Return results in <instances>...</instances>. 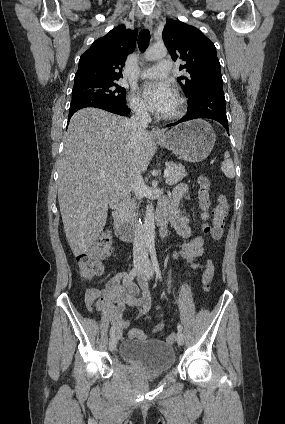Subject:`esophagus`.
<instances>
[{
	"label": "esophagus",
	"mask_w": 285,
	"mask_h": 424,
	"mask_svg": "<svg viewBox=\"0 0 285 424\" xmlns=\"http://www.w3.org/2000/svg\"><path fill=\"white\" fill-rule=\"evenodd\" d=\"M144 26L146 29L152 31L153 28V22L151 17H146L145 21H144ZM150 134L152 137H162L164 135L163 131L160 130L158 127H152Z\"/></svg>",
	"instance_id": "obj_1"
}]
</instances>
